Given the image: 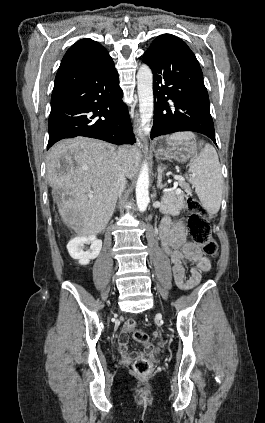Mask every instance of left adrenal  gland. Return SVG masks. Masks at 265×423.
<instances>
[{
  "label": "left adrenal gland",
  "instance_id": "left-adrenal-gland-1",
  "mask_svg": "<svg viewBox=\"0 0 265 423\" xmlns=\"http://www.w3.org/2000/svg\"><path fill=\"white\" fill-rule=\"evenodd\" d=\"M162 171H163V168L161 166H159V168H158V179H159V181L161 180V177H162ZM158 186H159V184H158Z\"/></svg>",
  "mask_w": 265,
  "mask_h": 423
}]
</instances>
